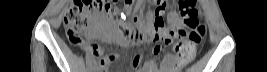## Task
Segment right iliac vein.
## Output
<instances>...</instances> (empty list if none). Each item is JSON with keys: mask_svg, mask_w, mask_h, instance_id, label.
Here are the masks:
<instances>
[{"mask_svg": "<svg viewBox=\"0 0 267 72\" xmlns=\"http://www.w3.org/2000/svg\"><path fill=\"white\" fill-rule=\"evenodd\" d=\"M92 72H96V69H95V68H93V69H92Z\"/></svg>", "mask_w": 267, "mask_h": 72, "instance_id": "right-iliac-vein-1", "label": "right iliac vein"}]
</instances>
